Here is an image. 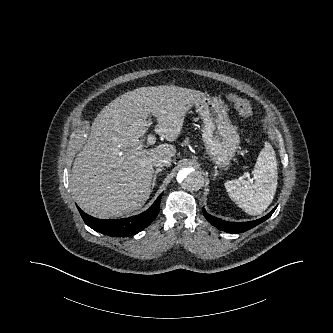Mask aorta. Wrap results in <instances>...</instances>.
Listing matches in <instances>:
<instances>
[{"label": "aorta", "instance_id": "aorta-1", "mask_svg": "<svg viewBox=\"0 0 333 333\" xmlns=\"http://www.w3.org/2000/svg\"><path fill=\"white\" fill-rule=\"evenodd\" d=\"M177 181L184 190L190 192L200 190L204 184V178L201 172L192 168L180 170L177 174Z\"/></svg>", "mask_w": 333, "mask_h": 333}]
</instances>
